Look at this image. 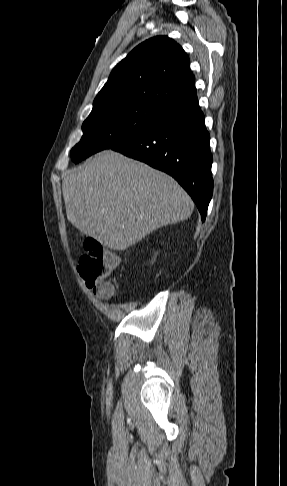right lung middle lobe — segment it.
Listing matches in <instances>:
<instances>
[{"mask_svg":"<svg viewBox=\"0 0 287 486\" xmlns=\"http://www.w3.org/2000/svg\"><path fill=\"white\" fill-rule=\"evenodd\" d=\"M169 110L146 102L93 107L82 125L83 136L71 150L74 163L104 149L114 148L141 134Z\"/></svg>","mask_w":287,"mask_h":486,"instance_id":"dd1d6c3e","label":"right lung middle lobe"}]
</instances>
